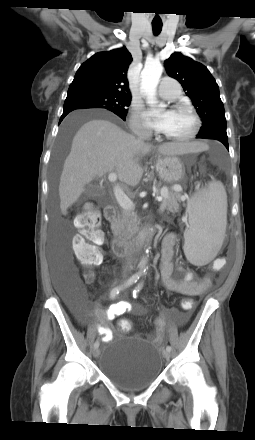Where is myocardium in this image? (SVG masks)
I'll list each match as a JSON object with an SVG mask.
<instances>
[{"instance_id":"obj_1","label":"myocardium","mask_w":255,"mask_h":440,"mask_svg":"<svg viewBox=\"0 0 255 440\" xmlns=\"http://www.w3.org/2000/svg\"><path fill=\"white\" fill-rule=\"evenodd\" d=\"M174 110H184L187 113H189L193 119L194 126H193L192 130L187 135H185L183 137H172L167 134H164V137L166 139L174 141V142H187V141H190L193 138H195L201 128V119L198 116V114L195 112V110L192 107H190L189 105H186V104H182V103L175 104Z\"/></svg>"}]
</instances>
